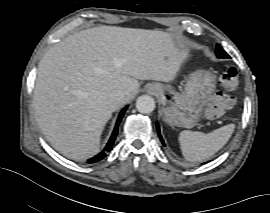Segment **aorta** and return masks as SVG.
I'll return each instance as SVG.
<instances>
[{
  "label": "aorta",
  "mask_w": 270,
  "mask_h": 213,
  "mask_svg": "<svg viewBox=\"0 0 270 213\" xmlns=\"http://www.w3.org/2000/svg\"><path fill=\"white\" fill-rule=\"evenodd\" d=\"M136 108L140 113L149 114L155 109V101L149 95H142L136 100Z\"/></svg>",
  "instance_id": "obj_1"
}]
</instances>
